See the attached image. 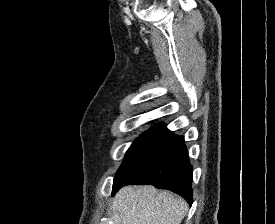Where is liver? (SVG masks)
Returning a JSON list of instances; mask_svg holds the SVG:
<instances>
[{"label": "liver", "mask_w": 275, "mask_h": 224, "mask_svg": "<svg viewBox=\"0 0 275 224\" xmlns=\"http://www.w3.org/2000/svg\"><path fill=\"white\" fill-rule=\"evenodd\" d=\"M112 208L120 216V224H180L188 206L171 192L146 185L121 188Z\"/></svg>", "instance_id": "liver-1"}]
</instances>
